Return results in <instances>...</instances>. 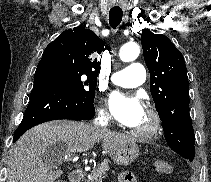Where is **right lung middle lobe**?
Segmentation results:
<instances>
[{"label": "right lung middle lobe", "instance_id": "obj_1", "mask_svg": "<svg viewBox=\"0 0 211 182\" xmlns=\"http://www.w3.org/2000/svg\"><path fill=\"white\" fill-rule=\"evenodd\" d=\"M50 67H52L81 98L91 103L94 102L97 77L89 76L76 68L56 62H53Z\"/></svg>", "mask_w": 211, "mask_h": 182}]
</instances>
